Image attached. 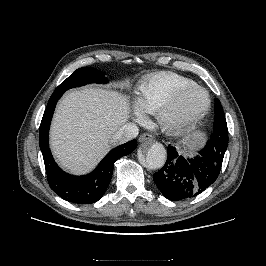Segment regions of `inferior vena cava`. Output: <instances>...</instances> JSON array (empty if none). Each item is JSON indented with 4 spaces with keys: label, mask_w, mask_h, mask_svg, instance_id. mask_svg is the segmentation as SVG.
<instances>
[{
    "label": "inferior vena cava",
    "mask_w": 266,
    "mask_h": 266,
    "mask_svg": "<svg viewBox=\"0 0 266 266\" xmlns=\"http://www.w3.org/2000/svg\"><path fill=\"white\" fill-rule=\"evenodd\" d=\"M139 133V129L134 123H126L117 130L111 138L112 144H123L135 138Z\"/></svg>",
    "instance_id": "1"
}]
</instances>
